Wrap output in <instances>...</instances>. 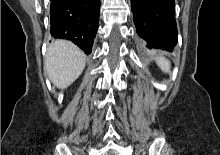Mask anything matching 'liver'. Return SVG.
<instances>
[{
  "instance_id": "obj_1",
  "label": "liver",
  "mask_w": 220,
  "mask_h": 155,
  "mask_svg": "<svg viewBox=\"0 0 220 155\" xmlns=\"http://www.w3.org/2000/svg\"><path fill=\"white\" fill-rule=\"evenodd\" d=\"M44 67L52 83L60 89H65L84 70L85 55L72 42L55 40L47 48Z\"/></svg>"
}]
</instances>
